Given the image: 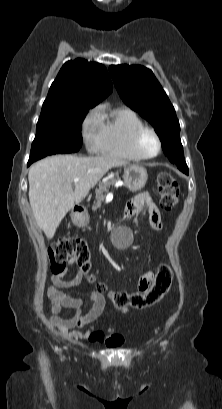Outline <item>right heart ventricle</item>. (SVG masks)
Listing matches in <instances>:
<instances>
[{
	"label": "right heart ventricle",
	"instance_id": "obj_1",
	"mask_svg": "<svg viewBox=\"0 0 222 409\" xmlns=\"http://www.w3.org/2000/svg\"><path fill=\"white\" fill-rule=\"evenodd\" d=\"M143 126L144 123L139 115L126 106L103 109L99 152L119 160H143L132 146L134 133Z\"/></svg>",
	"mask_w": 222,
	"mask_h": 409
}]
</instances>
